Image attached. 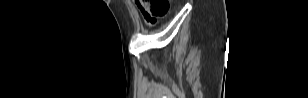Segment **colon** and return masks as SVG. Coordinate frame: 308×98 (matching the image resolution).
Segmentation results:
<instances>
[{"instance_id":"1","label":"colon","mask_w":308,"mask_h":98,"mask_svg":"<svg viewBox=\"0 0 308 98\" xmlns=\"http://www.w3.org/2000/svg\"><path fill=\"white\" fill-rule=\"evenodd\" d=\"M135 3L149 25H154L169 10L168 0H136Z\"/></svg>"}]
</instances>
